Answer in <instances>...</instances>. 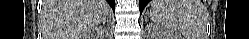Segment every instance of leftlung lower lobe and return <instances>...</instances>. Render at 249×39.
<instances>
[{
	"label": "left lung lower lobe",
	"instance_id": "0a47b994",
	"mask_svg": "<svg viewBox=\"0 0 249 39\" xmlns=\"http://www.w3.org/2000/svg\"><path fill=\"white\" fill-rule=\"evenodd\" d=\"M149 0H139V9H140V14L142 13L144 7L147 5Z\"/></svg>",
	"mask_w": 249,
	"mask_h": 39
}]
</instances>
